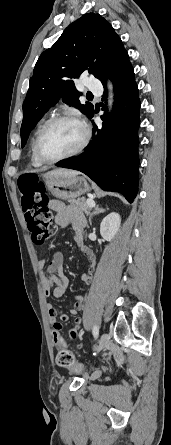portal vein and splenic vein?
<instances>
[{"instance_id":"portal-vein-and-splenic-vein-1","label":"portal vein and splenic vein","mask_w":171,"mask_h":445,"mask_svg":"<svg viewBox=\"0 0 171 445\" xmlns=\"http://www.w3.org/2000/svg\"><path fill=\"white\" fill-rule=\"evenodd\" d=\"M87 204H88L89 207H94L95 206V203H94V201L92 199H87Z\"/></svg>"}]
</instances>
